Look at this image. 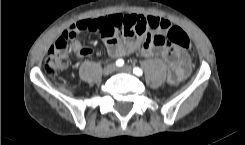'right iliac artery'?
<instances>
[{"label":"right iliac artery","instance_id":"1","mask_svg":"<svg viewBox=\"0 0 245 145\" xmlns=\"http://www.w3.org/2000/svg\"><path fill=\"white\" fill-rule=\"evenodd\" d=\"M123 64H124V61L122 59H119L116 61V65L119 67L123 66Z\"/></svg>","mask_w":245,"mask_h":145}]
</instances>
